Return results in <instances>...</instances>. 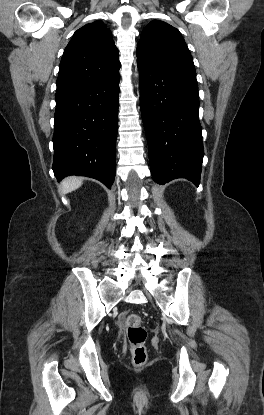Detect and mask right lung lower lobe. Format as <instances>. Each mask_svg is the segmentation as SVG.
Returning <instances> with one entry per match:
<instances>
[{
    "mask_svg": "<svg viewBox=\"0 0 264 415\" xmlns=\"http://www.w3.org/2000/svg\"><path fill=\"white\" fill-rule=\"evenodd\" d=\"M120 75L57 91L53 171L95 178L110 187L115 178Z\"/></svg>",
    "mask_w": 264,
    "mask_h": 415,
    "instance_id": "obj_1",
    "label": "right lung lower lobe"
}]
</instances>
